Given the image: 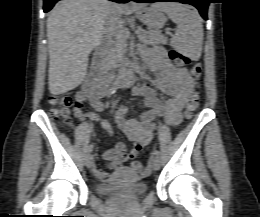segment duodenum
<instances>
[{
	"mask_svg": "<svg viewBox=\"0 0 260 217\" xmlns=\"http://www.w3.org/2000/svg\"><path fill=\"white\" fill-rule=\"evenodd\" d=\"M97 50H101V46L97 47ZM101 64L100 61L95 63V66L90 70L89 75L85 79L83 83V93L86 95H92L95 93L104 94L107 92L110 82L99 78V74L101 73ZM135 81V75L132 70H126L123 73H120L116 79L113 80V84L115 83H123L125 85H131Z\"/></svg>",
	"mask_w": 260,
	"mask_h": 217,
	"instance_id": "obj_1",
	"label": "duodenum"
}]
</instances>
